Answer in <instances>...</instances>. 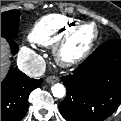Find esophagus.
<instances>
[{"label":"esophagus","mask_w":121,"mask_h":121,"mask_svg":"<svg viewBox=\"0 0 121 121\" xmlns=\"http://www.w3.org/2000/svg\"><path fill=\"white\" fill-rule=\"evenodd\" d=\"M58 81H59V78L57 76H50L46 79V82L49 84H53Z\"/></svg>","instance_id":"obj_1"}]
</instances>
